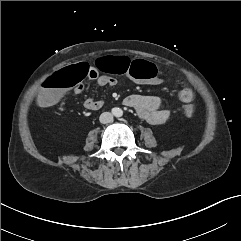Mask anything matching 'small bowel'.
Wrapping results in <instances>:
<instances>
[{"mask_svg": "<svg viewBox=\"0 0 241 241\" xmlns=\"http://www.w3.org/2000/svg\"><path fill=\"white\" fill-rule=\"evenodd\" d=\"M91 72L86 77L91 80H95L99 86L102 87H114L117 85V79L111 75L100 73L98 67L90 66ZM150 84H161L162 80L154 78L149 81ZM84 87L79 83L74 88L75 94H81ZM186 94V98L182 95ZM194 98V92L191 88H184L180 91V99L183 102H191ZM103 99L87 98L83 105L87 110L95 111L103 107ZM124 105L131 107L135 110L139 118L148 122L151 125H162L166 123L170 117V109L165 104L163 99L154 95H142V94H131L124 100Z\"/></svg>", "mask_w": 241, "mask_h": 241, "instance_id": "1", "label": "small bowel"}]
</instances>
